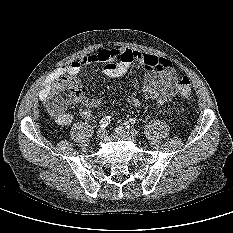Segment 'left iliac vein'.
Returning <instances> with one entry per match:
<instances>
[{
	"instance_id": "4c4485c4",
	"label": "left iliac vein",
	"mask_w": 233,
	"mask_h": 233,
	"mask_svg": "<svg viewBox=\"0 0 233 233\" xmlns=\"http://www.w3.org/2000/svg\"><path fill=\"white\" fill-rule=\"evenodd\" d=\"M116 132H117L120 136L126 137V131H125V129H124L122 126L117 127V128H116ZM130 133L132 134V136H137V134H138L137 130L134 129V128H132V129L130 130Z\"/></svg>"
}]
</instances>
